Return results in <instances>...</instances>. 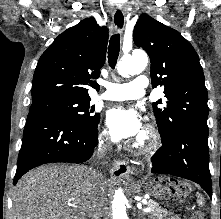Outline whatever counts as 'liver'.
<instances>
[{"mask_svg": "<svg viewBox=\"0 0 221 219\" xmlns=\"http://www.w3.org/2000/svg\"><path fill=\"white\" fill-rule=\"evenodd\" d=\"M108 181L83 165L41 166L25 174L12 195L13 219H72L97 204L107 213Z\"/></svg>", "mask_w": 221, "mask_h": 219, "instance_id": "obj_1", "label": "liver"}]
</instances>
